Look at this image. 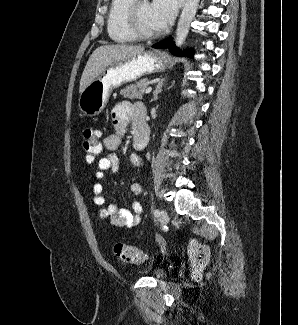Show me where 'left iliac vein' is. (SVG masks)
I'll return each mask as SVG.
<instances>
[{"label":"left iliac vein","mask_w":298,"mask_h":325,"mask_svg":"<svg viewBox=\"0 0 298 325\" xmlns=\"http://www.w3.org/2000/svg\"><path fill=\"white\" fill-rule=\"evenodd\" d=\"M160 221L161 223L164 225V224H167L168 221H169V217H168V214L165 210H162L161 213H160Z\"/></svg>","instance_id":"obj_1"}]
</instances>
